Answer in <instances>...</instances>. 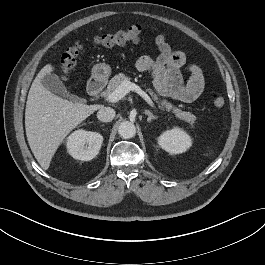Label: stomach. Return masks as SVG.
<instances>
[{
	"instance_id": "1",
	"label": "stomach",
	"mask_w": 265,
	"mask_h": 265,
	"mask_svg": "<svg viewBox=\"0 0 265 265\" xmlns=\"http://www.w3.org/2000/svg\"><path fill=\"white\" fill-rule=\"evenodd\" d=\"M111 74V67L106 63H98L92 68V78L97 82H105Z\"/></svg>"
}]
</instances>
